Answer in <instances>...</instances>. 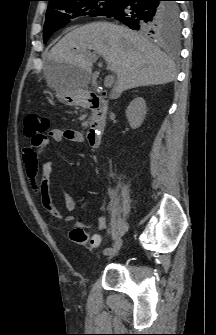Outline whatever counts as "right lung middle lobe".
Masks as SVG:
<instances>
[{
    "instance_id": "dd1d6c3e",
    "label": "right lung middle lobe",
    "mask_w": 216,
    "mask_h": 335,
    "mask_svg": "<svg viewBox=\"0 0 216 335\" xmlns=\"http://www.w3.org/2000/svg\"><path fill=\"white\" fill-rule=\"evenodd\" d=\"M120 0H54L48 5L44 24V43L53 32L64 27L70 20L77 16H106L119 3ZM175 3V2H174ZM177 6V4L175 3ZM178 7V6H177ZM144 32L150 33L148 30ZM180 22L174 28L164 31L159 35L178 36ZM153 34V33H150Z\"/></svg>"
}]
</instances>
